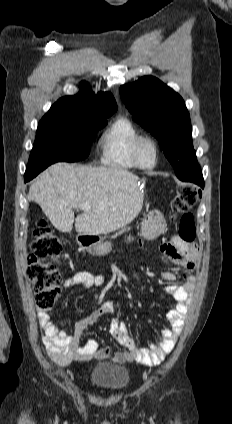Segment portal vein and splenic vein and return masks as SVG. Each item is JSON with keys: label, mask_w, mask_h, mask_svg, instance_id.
Segmentation results:
<instances>
[{"label": "portal vein and splenic vein", "mask_w": 232, "mask_h": 424, "mask_svg": "<svg viewBox=\"0 0 232 424\" xmlns=\"http://www.w3.org/2000/svg\"><path fill=\"white\" fill-rule=\"evenodd\" d=\"M80 209L84 210V211H89L91 209L89 204H82L79 206Z\"/></svg>", "instance_id": "1"}]
</instances>
